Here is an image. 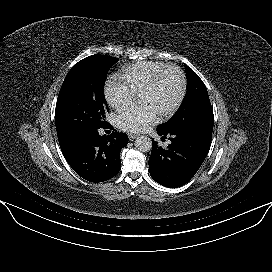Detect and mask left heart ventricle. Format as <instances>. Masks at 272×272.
I'll return each mask as SVG.
<instances>
[{
	"label": "left heart ventricle",
	"instance_id": "left-heart-ventricle-1",
	"mask_svg": "<svg viewBox=\"0 0 272 272\" xmlns=\"http://www.w3.org/2000/svg\"><path fill=\"white\" fill-rule=\"evenodd\" d=\"M181 87V78L177 71H166L157 86L139 97L140 103L150 105L159 115L169 110L176 102Z\"/></svg>",
	"mask_w": 272,
	"mask_h": 272
}]
</instances>
